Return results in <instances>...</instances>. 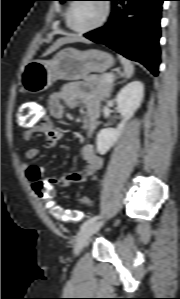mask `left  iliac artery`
<instances>
[{
  "label": "left iliac artery",
  "instance_id": "left-iliac-artery-1",
  "mask_svg": "<svg viewBox=\"0 0 180 299\" xmlns=\"http://www.w3.org/2000/svg\"><path fill=\"white\" fill-rule=\"evenodd\" d=\"M100 218V215L94 216L90 219H88L87 221H85L82 225H81V230L86 228L88 225L96 222L98 219Z\"/></svg>",
  "mask_w": 180,
  "mask_h": 299
}]
</instances>
